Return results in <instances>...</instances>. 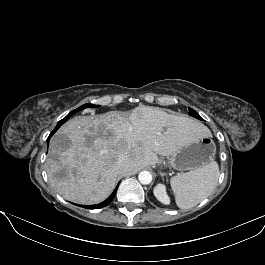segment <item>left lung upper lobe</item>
Segmentation results:
<instances>
[{
	"instance_id": "1",
	"label": "left lung upper lobe",
	"mask_w": 265,
	"mask_h": 265,
	"mask_svg": "<svg viewBox=\"0 0 265 265\" xmlns=\"http://www.w3.org/2000/svg\"><path fill=\"white\" fill-rule=\"evenodd\" d=\"M189 114L197 119H200L202 120V118L200 117V115L195 111L193 110L192 108H189Z\"/></svg>"
}]
</instances>
